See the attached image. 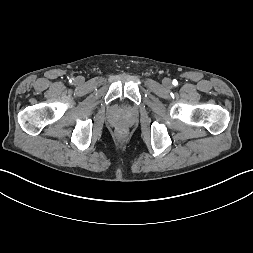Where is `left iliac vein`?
<instances>
[{
    "label": "left iliac vein",
    "instance_id": "left-iliac-vein-1",
    "mask_svg": "<svg viewBox=\"0 0 253 253\" xmlns=\"http://www.w3.org/2000/svg\"><path fill=\"white\" fill-rule=\"evenodd\" d=\"M163 84H164L165 87L170 88L171 87V80L168 79V78H165L163 80Z\"/></svg>",
    "mask_w": 253,
    "mask_h": 253
}]
</instances>
